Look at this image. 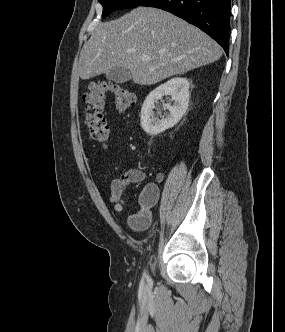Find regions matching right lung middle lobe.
I'll return each instance as SVG.
<instances>
[{"mask_svg":"<svg viewBox=\"0 0 285 332\" xmlns=\"http://www.w3.org/2000/svg\"><path fill=\"white\" fill-rule=\"evenodd\" d=\"M103 6L102 17L105 18L112 11L123 8H134L141 6L147 0H98Z\"/></svg>","mask_w":285,"mask_h":332,"instance_id":"1","label":"right lung middle lobe"}]
</instances>
